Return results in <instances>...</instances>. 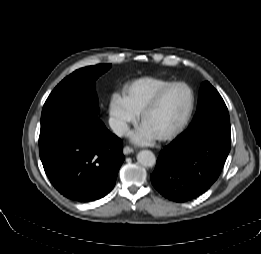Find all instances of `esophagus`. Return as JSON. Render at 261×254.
<instances>
[{
	"mask_svg": "<svg viewBox=\"0 0 261 254\" xmlns=\"http://www.w3.org/2000/svg\"><path fill=\"white\" fill-rule=\"evenodd\" d=\"M133 152H134V149L131 148V147H129V146H125V147L123 148V153H124L125 155L131 154V153H133Z\"/></svg>",
	"mask_w": 261,
	"mask_h": 254,
	"instance_id": "1",
	"label": "esophagus"
}]
</instances>
